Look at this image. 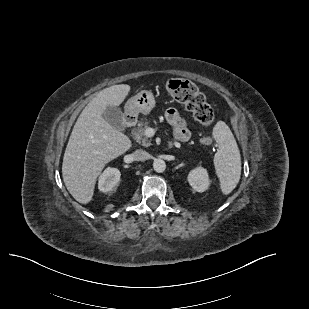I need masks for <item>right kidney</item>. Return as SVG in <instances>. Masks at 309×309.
<instances>
[{"instance_id":"right-kidney-1","label":"right kidney","mask_w":309,"mask_h":309,"mask_svg":"<svg viewBox=\"0 0 309 309\" xmlns=\"http://www.w3.org/2000/svg\"><path fill=\"white\" fill-rule=\"evenodd\" d=\"M120 171L117 168H107L100 175L98 188L102 192L111 191L120 181Z\"/></svg>"}]
</instances>
